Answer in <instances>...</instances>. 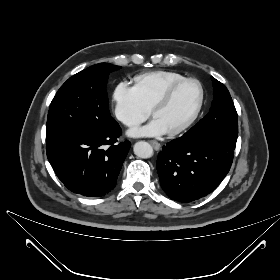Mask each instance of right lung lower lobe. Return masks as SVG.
<instances>
[{"label": "right lung lower lobe", "mask_w": 280, "mask_h": 280, "mask_svg": "<svg viewBox=\"0 0 280 280\" xmlns=\"http://www.w3.org/2000/svg\"><path fill=\"white\" fill-rule=\"evenodd\" d=\"M118 123L100 131H72L46 141L48 160L72 192L101 197L112 191L130 142L117 143Z\"/></svg>", "instance_id": "right-lung-lower-lobe-1"}]
</instances>
